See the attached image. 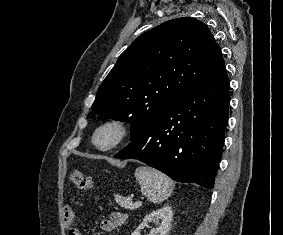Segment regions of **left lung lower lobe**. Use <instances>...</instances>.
<instances>
[{"instance_id": "obj_1", "label": "left lung lower lobe", "mask_w": 283, "mask_h": 235, "mask_svg": "<svg viewBox=\"0 0 283 235\" xmlns=\"http://www.w3.org/2000/svg\"><path fill=\"white\" fill-rule=\"evenodd\" d=\"M229 103L224 65L182 94L115 158L137 159L175 181L213 188Z\"/></svg>"}]
</instances>
